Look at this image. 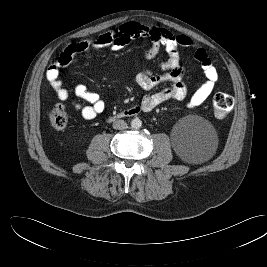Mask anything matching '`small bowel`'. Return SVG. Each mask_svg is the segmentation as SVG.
<instances>
[{
	"mask_svg": "<svg viewBox=\"0 0 267 267\" xmlns=\"http://www.w3.org/2000/svg\"><path fill=\"white\" fill-rule=\"evenodd\" d=\"M144 37L151 41V46L145 52L147 60H153L161 47H164L167 58L161 63L163 74L156 75L151 70H142L135 76L136 83L146 91H152L143 96L140 107L143 111H151L158 105L168 100H183L187 97L188 89L183 81L184 67L181 64V48L194 50V57L204 70L205 82L192 94L187 103L188 108H196L214 91L218 81V71L208 53L196 46L194 41L184 35H174L167 29L145 25L140 22H127L117 29L105 32L94 38L69 44L53 61L46 72V79L55 90L58 98L68 100L70 92L63 86L60 78V69L69 65L74 55L88 49L107 48L117 51L128 44L132 39ZM161 85L163 88L158 89ZM73 94L87 104L73 101L72 106L79 111L83 118L94 119L105 110V103L100 95L90 91L85 85L77 84L73 88Z\"/></svg>",
	"mask_w": 267,
	"mask_h": 267,
	"instance_id": "obj_1",
	"label": "small bowel"
}]
</instances>
